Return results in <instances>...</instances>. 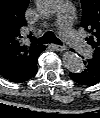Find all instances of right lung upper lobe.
<instances>
[{"label":"right lung upper lobe","mask_w":100,"mask_h":118,"mask_svg":"<svg viewBox=\"0 0 100 118\" xmlns=\"http://www.w3.org/2000/svg\"><path fill=\"white\" fill-rule=\"evenodd\" d=\"M29 0H0V73L18 70L38 45H23L20 30L26 26Z\"/></svg>","instance_id":"cb5924a9"}]
</instances>
